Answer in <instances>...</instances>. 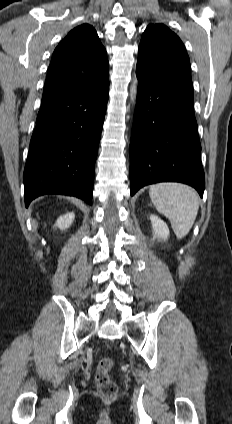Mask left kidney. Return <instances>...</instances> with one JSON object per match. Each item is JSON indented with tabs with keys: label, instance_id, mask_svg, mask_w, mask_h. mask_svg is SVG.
Segmentation results:
<instances>
[{
	"label": "left kidney",
	"instance_id": "5707ae66",
	"mask_svg": "<svg viewBox=\"0 0 232 424\" xmlns=\"http://www.w3.org/2000/svg\"><path fill=\"white\" fill-rule=\"evenodd\" d=\"M150 220L153 228V239L166 241L169 236V229L166 223L156 215H151Z\"/></svg>",
	"mask_w": 232,
	"mask_h": 424
}]
</instances>
